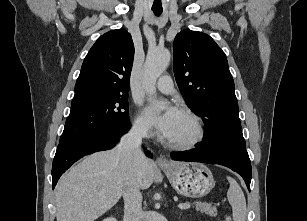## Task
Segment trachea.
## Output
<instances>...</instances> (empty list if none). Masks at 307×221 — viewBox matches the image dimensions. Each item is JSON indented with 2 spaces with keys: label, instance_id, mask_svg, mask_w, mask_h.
I'll return each instance as SVG.
<instances>
[{
  "label": "trachea",
  "instance_id": "3493384b",
  "mask_svg": "<svg viewBox=\"0 0 307 221\" xmlns=\"http://www.w3.org/2000/svg\"><path fill=\"white\" fill-rule=\"evenodd\" d=\"M152 11H153L154 14L157 15V16H159V15L162 13V9H161V10L153 9Z\"/></svg>",
  "mask_w": 307,
  "mask_h": 221
}]
</instances>
